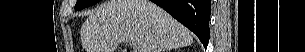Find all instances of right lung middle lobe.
Listing matches in <instances>:
<instances>
[{
    "instance_id": "obj_1",
    "label": "right lung middle lobe",
    "mask_w": 305,
    "mask_h": 52,
    "mask_svg": "<svg viewBox=\"0 0 305 52\" xmlns=\"http://www.w3.org/2000/svg\"><path fill=\"white\" fill-rule=\"evenodd\" d=\"M99 1L100 0H78L75 5V10H81V9L91 6Z\"/></svg>"
}]
</instances>
